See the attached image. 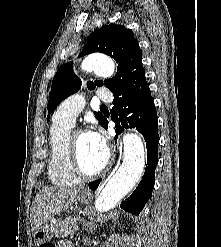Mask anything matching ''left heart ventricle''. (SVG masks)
Listing matches in <instances>:
<instances>
[{
  "label": "left heart ventricle",
  "instance_id": "1",
  "mask_svg": "<svg viewBox=\"0 0 221 247\" xmlns=\"http://www.w3.org/2000/svg\"><path fill=\"white\" fill-rule=\"evenodd\" d=\"M80 162L87 173L99 170L106 158V149L92 142L88 134H79L76 138Z\"/></svg>",
  "mask_w": 221,
  "mask_h": 247
}]
</instances>
